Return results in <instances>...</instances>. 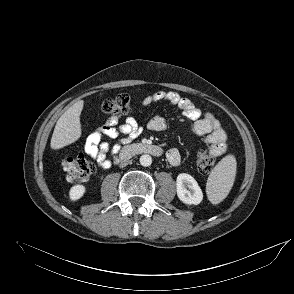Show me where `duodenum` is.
Wrapping results in <instances>:
<instances>
[{
  "instance_id": "410a0bca",
  "label": "duodenum",
  "mask_w": 294,
  "mask_h": 294,
  "mask_svg": "<svg viewBox=\"0 0 294 294\" xmlns=\"http://www.w3.org/2000/svg\"><path fill=\"white\" fill-rule=\"evenodd\" d=\"M163 150L157 145L147 143H136L124 147L119 153L120 161H127L137 154H149L152 156L162 155Z\"/></svg>"
}]
</instances>
